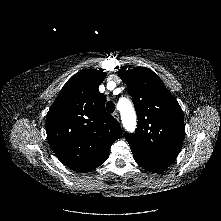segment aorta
Instances as JSON below:
<instances>
[{"label": "aorta", "mask_w": 221, "mask_h": 221, "mask_svg": "<svg viewBox=\"0 0 221 221\" xmlns=\"http://www.w3.org/2000/svg\"><path fill=\"white\" fill-rule=\"evenodd\" d=\"M118 107H122L121 115L125 129L129 132H133L136 128V114L131 102L123 98L118 102Z\"/></svg>", "instance_id": "obj_1"}]
</instances>
